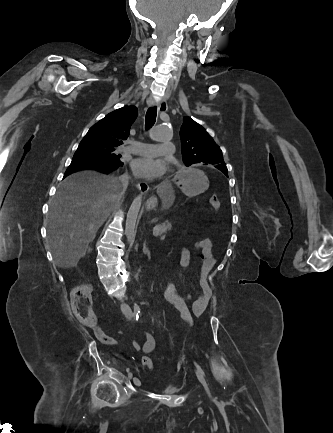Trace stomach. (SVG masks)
<instances>
[{
    "mask_svg": "<svg viewBox=\"0 0 333 433\" xmlns=\"http://www.w3.org/2000/svg\"><path fill=\"white\" fill-rule=\"evenodd\" d=\"M206 169H179L177 174H174V183L181 185V190L187 196H197L208 189ZM156 198L147 203L148 208H154Z\"/></svg>",
    "mask_w": 333,
    "mask_h": 433,
    "instance_id": "1",
    "label": "stomach"
}]
</instances>
